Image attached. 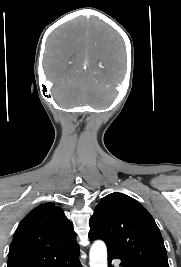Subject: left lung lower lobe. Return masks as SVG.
Returning a JSON list of instances; mask_svg holds the SVG:
<instances>
[{"label":"left lung lower lobe","instance_id":"0a47b994","mask_svg":"<svg viewBox=\"0 0 181 267\" xmlns=\"http://www.w3.org/2000/svg\"><path fill=\"white\" fill-rule=\"evenodd\" d=\"M113 259H120L123 267H140L136 264H132L123 260L115 251L108 249V267H113L111 262Z\"/></svg>","mask_w":181,"mask_h":267}]
</instances>
